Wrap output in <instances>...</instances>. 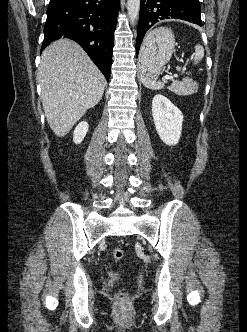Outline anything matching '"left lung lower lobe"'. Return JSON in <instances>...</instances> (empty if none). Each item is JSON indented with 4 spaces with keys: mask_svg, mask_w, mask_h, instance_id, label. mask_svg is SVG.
Masks as SVG:
<instances>
[{
    "mask_svg": "<svg viewBox=\"0 0 247 332\" xmlns=\"http://www.w3.org/2000/svg\"><path fill=\"white\" fill-rule=\"evenodd\" d=\"M199 0H141L136 54L145 33L163 19H182L202 26Z\"/></svg>",
    "mask_w": 247,
    "mask_h": 332,
    "instance_id": "obj_1",
    "label": "left lung lower lobe"
}]
</instances>
